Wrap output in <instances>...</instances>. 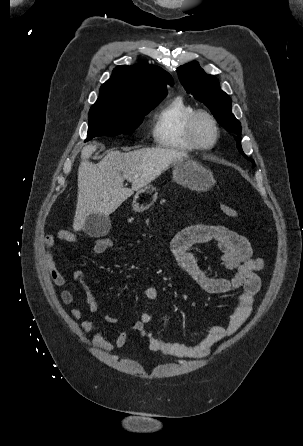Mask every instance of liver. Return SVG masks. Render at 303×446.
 <instances>
[{
	"label": "liver",
	"mask_w": 303,
	"mask_h": 446,
	"mask_svg": "<svg viewBox=\"0 0 303 446\" xmlns=\"http://www.w3.org/2000/svg\"><path fill=\"white\" fill-rule=\"evenodd\" d=\"M95 150L96 145H86L81 151L74 231L83 229L90 215L108 217L134 191L155 180L171 164L187 158L184 152L162 148L127 153L114 150L94 164L88 159ZM125 179L131 182V189L123 186Z\"/></svg>",
	"instance_id": "obj_1"
}]
</instances>
